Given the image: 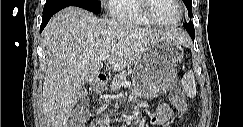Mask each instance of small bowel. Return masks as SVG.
<instances>
[{
    "mask_svg": "<svg viewBox=\"0 0 243 127\" xmlns=\"http://www.w3.org/2000/svg\"><path fill=\"white\" fill-rule=\"evenodd\" d=\"M172 107L175 108L180 113H186L188 110V105L185 100L181 101L176 98H172ZM173 118V111L170 105L162 103L158 106L156 115L151 121L152 126H167ZM107 122H104L105 125H100L97 120H95L91 127H108Z\"/></svg>",
    "mask_w": 243,
    "mask_h": 127,
    "instance_id": "c3829d8e",
    "label": "small bowel"
}]
</instances>
